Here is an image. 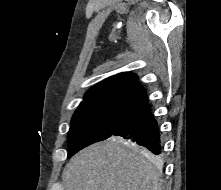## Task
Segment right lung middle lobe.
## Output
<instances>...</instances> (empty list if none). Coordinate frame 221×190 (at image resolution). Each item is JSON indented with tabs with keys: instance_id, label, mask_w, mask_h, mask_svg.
Wrapping results in <instances>:
<instances>
[{
	"instance_id": "1",
	"label": "right lung middle lobe",
	"mask_w": 221,
	"mask_h": 190,
	"mask_svg": "<svg viewBox=\"0 0 221 190\" xmlns=\"http://www.w3.org/2000/svg\"><path fill=\"white\" fill-rule=\"evenodd\" d=\"M136 111L113 104L79 106L73 114L68 135V158L82 148L112 136Z\"/></svg>"
}]
</instances>
